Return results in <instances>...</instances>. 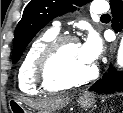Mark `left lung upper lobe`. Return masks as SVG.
I'll return each mask as SVG.
<instances>
[{
	"instance_id": "obj_1",
	"label": "left lung upper lobe",
	"mask_w": 123,
	"mask_h": 113,
	"mask_svg": "<svg viewBox=\"0 0 123 113\" xmlns=\"http://www.w3.org/2000/svg\"><path fill=\"white\" fill-rule=\"evenodd\" d=\"M90 0H31L19 21L12 54V62L20 59L28 43L50 20L76 9Z\"/></svg>"
}]
</instances>
